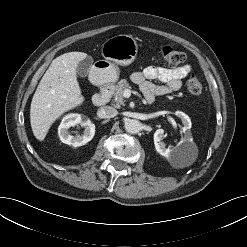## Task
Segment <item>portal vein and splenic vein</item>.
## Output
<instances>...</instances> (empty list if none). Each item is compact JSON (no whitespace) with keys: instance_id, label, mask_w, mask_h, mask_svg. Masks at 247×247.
<instances>
[{"instance_id":"portal-vein-and-splenic-vein-1","label":"portal vein and splenic vein","mask_w":247,"mask_h":247,"mask_svg":"<svg viewBox=\"0 0 247 247\" xmlns=\"http://www.w3.org/2000/svg\"><path fill=\"white\" fill-rule=\"evenodd\" d=\"M131 96V91L129 89L124 90L123 97L129 98Z\"/></svg>"}]
</instances>
